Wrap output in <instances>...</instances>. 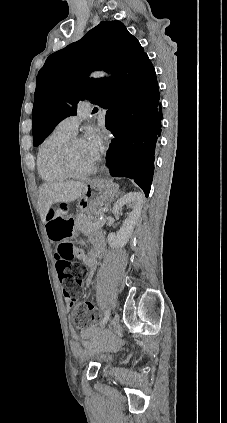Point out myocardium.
<instances>
[{
    "instance_id": "myocardium-1",
    "label": "myocardium",
    "mask_w": 227,
    "mask_h": 423,
    "mask_svg": "<svg viewBox=\"0 0 227 423\" xmlns=\"http://www.w3.org/2000/svg\"><path fill=\"white\" fill-rule=\"evenodd\" d=\"M79 142H84V139L82 137L73 136L64 142L57 151L58 165L66 177L81 178L92 174L96 170L95 164L81 172H77L72 168L70 163L71 149Z\"/></svg>"
}]
</instances>
